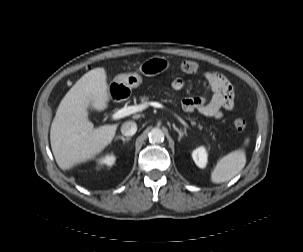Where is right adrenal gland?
Listing matches in <instances>:
<instances>
[{"instance_id": "right-adrenal-gland-1", "label": "right adrenal gland", "mask_w": 303, "mask_h": 252, "mask_svg": "<svg viewBox=\"0 0 303 252\" xmlns=\"http://www.w3.org/2000/svg\"><path fill=\"white\" fill-rule=\"evenodd\" d=\"M116 139H121L122 141H123V143H125L126 141H129V140H131V138L130 137H123V136H118V137H116Z\"/></svg>"}]
</instances>
